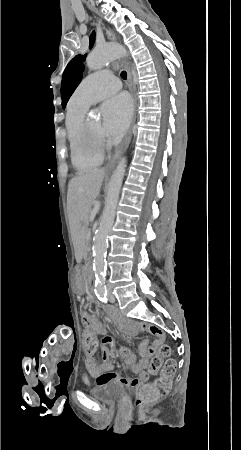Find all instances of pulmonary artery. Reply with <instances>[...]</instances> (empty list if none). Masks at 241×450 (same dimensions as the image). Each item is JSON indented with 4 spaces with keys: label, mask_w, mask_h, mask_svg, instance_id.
<instances>
[{
    "label": "pulmonary artery",
    "mask_w": 241,
    "mask_h": 450,
    "mask_svg": "<svg viewBox=\"0 0 241 450\" xmlns=\"http://www.w3.org/2000/svg\"><path fill=\"white\" fill-rule=\"evenodd\" d=\"M108 69L94 71L83 80L85 87L75 91L72 100L83 102L88 106L99 103L108 97H112L121 85L119 78H111Z\"/></svg>",
    "instance_id": "obj_1"
}]
</instances>
